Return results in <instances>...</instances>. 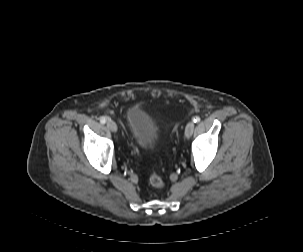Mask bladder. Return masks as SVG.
I'll return each mask as SVG.
<instances>
[{"mask_svg": "<svg viewBox=\"0 0 303 252\" xmlns=\"http://www.w3.org/2000/svg\"><path fill=\"white\" fill-rule=\"evenodd\" d=\"M127 124L132 139L143 151H151L158 137V128L144 109L133 107L127 113Z\"/></svg>", "mask_w": 303, "mask_h": 252, "instance_id": "obj_1", "label": "bladder"}]
</instances>
